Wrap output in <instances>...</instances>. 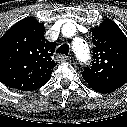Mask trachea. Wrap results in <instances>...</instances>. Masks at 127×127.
<instances>
[{
    "mask_svg": "<svg viewBox=\"0 0 127 127\" xmlns=\"http://www.w3.org/2000/svg\"><path fill=\"white\" fill-rule=\"evenodd\" d=\"M68 52H69V46L67 44L61 45L56 51V53L64 54V55H68Z\"/></svg>",
    "mask_w": 127,
    "mask_h": 127,
    "instance_id": "3493384b",
    "label": "trachea"
}]
</instances>
